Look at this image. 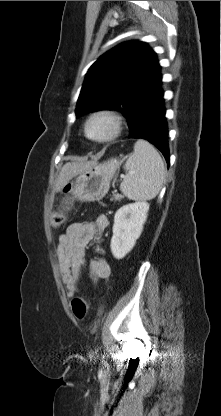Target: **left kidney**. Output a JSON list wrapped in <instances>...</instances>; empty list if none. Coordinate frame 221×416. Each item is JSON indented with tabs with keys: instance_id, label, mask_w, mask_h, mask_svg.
Returning a JSON list of instances; mask_svg holds the SVG:
<instances>
[{
	"instance_id": "5707ae66",
	"label": "left kidney",
	"mask_w": 221,
	"mask_h": 416,
	"mask_svg": "<svg viewBox=\"0 0 221 416\" xmlns=\"http://www.w3.org/2000/svg\"><path fill=\"white\" fill-rule=\"evenodd\" d=\"M149 204L135 202L122 206L114 216L111 251L116 259L124 258L134 247L143 231Z\"/></svg>"
}]
</instances>
